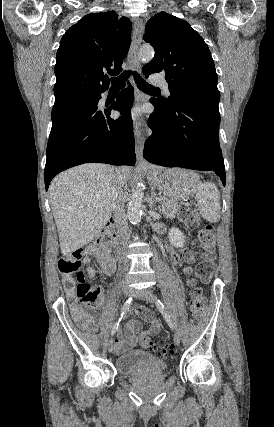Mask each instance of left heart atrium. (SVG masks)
Returning <instances> with one entry per match:
<instances>
[{
  "label": "left heart atrium",
  "instance_id": "39dd6f15",
  "mask_svg": "<svg viewBox=\"0 0 274 427\" xmlns=\"http://www.w3.org/2000/svg\"><path fill=\"white\" fill-rule=\"evenodd\" d=\"M131 115H132V117H134V118H136L137 116H138V111H133L132 113H131Z\"/></svg>",
  "mask_w": 274,
  "mask_h": 427
}]
</instances>
